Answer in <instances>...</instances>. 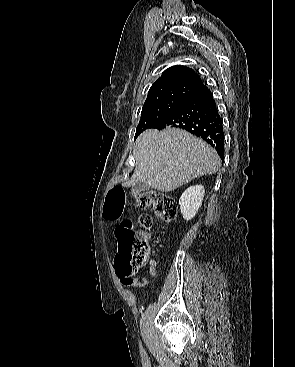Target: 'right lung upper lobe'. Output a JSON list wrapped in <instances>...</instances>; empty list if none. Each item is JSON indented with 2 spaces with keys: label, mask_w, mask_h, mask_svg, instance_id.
Segmentation results:
<instances>
[{
  "label": "right lung upper lobe",
  "mask_w": 295,
  "mask_h": 367,
  "mask_svg": "<svg viewBox=\"0 0 295 367\" xmlns=\"http://www.w3.org/2000/svg\"><path fill=\"white\" fill-rule=\"evenodd\" d=\"M203 86V82L194 70L184 66H173L166 69L162 76L151 86L148 96L159 91L176 87L188 88L196 91Z\"/></svg>",
  "instance_id": "cb5924a9"
}]
</instances>
